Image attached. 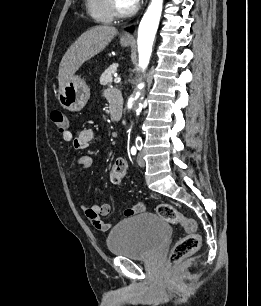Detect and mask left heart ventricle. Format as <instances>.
Wrapping results in <instances>:
<instances>
[{
    "label": "left heart ventricle",
    "mask_w": 261,
    "mask_h": 306,
    "mask_svg": "<svg viewBox=\"0 0 261 306\" xmlns=\"http://www.w3.org/2000/svg\"><path fill=\"white\" fill-rule=\"evenodd\" d=\"M116 2L121 9H128L132 6L127 0H116Z\"/></svg>",
    "instance_id": "obj_1"
}]
</instances>
